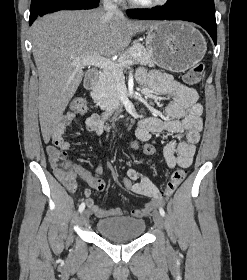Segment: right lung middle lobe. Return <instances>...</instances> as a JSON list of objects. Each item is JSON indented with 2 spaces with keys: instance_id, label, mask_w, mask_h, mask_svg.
<instances>
[{
  "instance_id": "right-lung-middle-lobe-1",
  "label": "right lung middle lobe",
  "mask_w": 247,
  "mask_h": 280,
  "mask_svg": "<svg viewBox=\"0 0 247 280\" xmlns=\"http://www.w3.org/2000/svg\"><path fill=\"white\" fill-rule=\"evenodd\" d=\"M54 0H32L30 7V16L37 14L45 5Z\"/></svg>"
}]
</instances>
